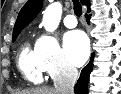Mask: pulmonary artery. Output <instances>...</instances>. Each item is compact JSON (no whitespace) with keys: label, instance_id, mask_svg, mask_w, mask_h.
<instances>
[{"label":"pulmonary artery","instance_id":"obj_1","mask_svg":"<svg viewBox=\"0 0 121 94\" xmlns=\"http://www.w3.org/2000/svg\"><path fill=\"white\" fill-rule=\"evenodd\" d=\"M63 22L67 28H74L77 26V19L73 14L66 15Z\"/></svg>","mask_w":121,"mask_h":94}]
</instances>
